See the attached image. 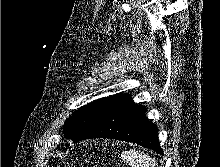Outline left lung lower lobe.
I'll return each instance as SVG.
<instances>
[{
  "label": "left lung lower lobe",
  "instance_id": "obj_1",
  "mask_svg": "<svg viewBox=\"0 0 220 167\" xmlns=\"http://www.w3.org/2000/svg\"><path fill=\"white\" fill-rule=\"evenodd\" d=\"M146 107L135 104L129 95H118L78 140L111 138L134 142L160 154L157 127L145 117Z\"/></svg>",
  "mask_w": 220,
  "mask_h": 167
}]
</instances>
